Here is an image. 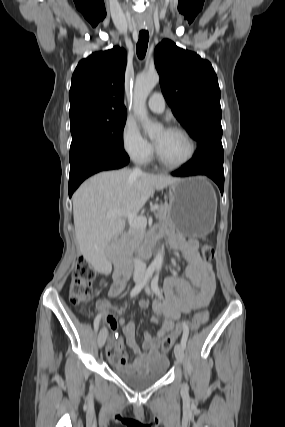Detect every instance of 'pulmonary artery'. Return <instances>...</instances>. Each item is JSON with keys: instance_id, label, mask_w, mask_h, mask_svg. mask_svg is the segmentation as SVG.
<instances>
[{"instance_id": "pulmonary-artery-1", "label": "pulmonary artery", "mask_w": 285, "mask_h": 427, "mask_svg": "<svg viewBox=\"0 0 285 427\" xmlns=\"http://www.w3.org/2000/svg\"><path fill=\"white\" fill-rule=\"evenodd\" d=\"M148 107L156 113H161L165 109V99L160 92L153 93L148 99Z\"/></svg>"}]
</instances>
